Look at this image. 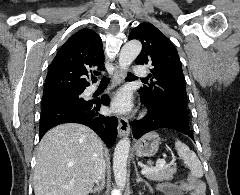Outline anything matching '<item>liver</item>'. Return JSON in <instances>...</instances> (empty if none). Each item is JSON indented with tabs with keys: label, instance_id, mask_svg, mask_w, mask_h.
Listing matches in <instances>:
<instances>
[{
	"label": "liver",
	"instance_id": "1",
	"mask_svg": "<svg viewBox=\"0 0 240 195\" xmlns=\"http://www.w3.org/2000/svg\"><path fill=\"white\" fill-rule=\"evenodd\" d=\"M102 159L103 141L87 125L52 127L39 143L35 195H87Z\"/></svg>",
	"mask_w": 240,
	"mask_h": 195
}]
</instances>
